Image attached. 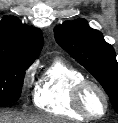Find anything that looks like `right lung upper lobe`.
Returning <instances> with one entry per match:
<instances>
[{
	"mask_svg": "<svg viewBox=\"0 0 118 123\" xmlns=\"http://www.w3.org/2000/svg\"><path fill=\"white\" fill-rule=\"evenodd\" d=\"M43 44L39 29L26 27L15 17L5 16L0 22V58L30 66Z\"/></svg>",
	"mask_w": 118,
	"mask_h": 123,
	"instance_id": "cb5924a9",
	"label": "right lung upper lobe"
}]
</instances>
